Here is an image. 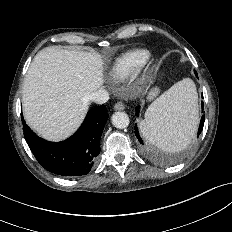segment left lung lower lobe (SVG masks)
<instances>
[{
    "label": "left lung lower lobe",
    "mask_w": 232,
    "mask_h": 232,
    "mask_svg": "<svg viewBox=\"0 0 232 232\" xmlns=\"http://www.w3.org/2000/svg\"><path fill=\"white\" fill-rule=\"evenodd\" d=\"M195 75L197 76L196 71H195ZM202 107H203V102H202ZM135 109H136V116H138V115H139V109H140V107L137 106ZM204 121H205V116H202V117H201V121H200L199 130H198V135L201 133V131H202V129H203ZM135 135H136V137L138 138L139 142H140V143H143V142H142V139H141L140 136H139V132H138L137 126H135Z\"/></svg>",
    "instance_id": "1"
}]
</instances>
